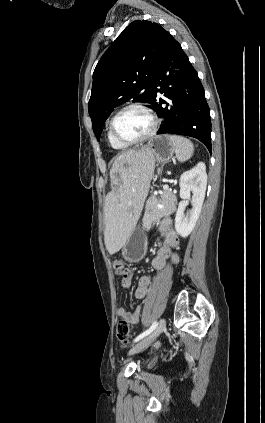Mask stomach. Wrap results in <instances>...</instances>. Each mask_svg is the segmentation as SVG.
<instances>
[{
  "label": "stomach",
  "instance_id": "0dacf381",
  "mask_svg": "<svg viewBox=\"0 0 265 423\" xmlns=\"http://www.w3.org/2000/svg\"><path fill=\"white\" fill-rule=\"evenodd\" d=\"M146 146L153 152L155 163H165L173 157V144L167 135L154 137ZM146 250L145 232L143 229L135 227L123 246L122 255L127 261L137 263L144 258Z\"/></svg>",
  "mask_w": 265,
  "mask_h": 423
}]
</instances>
